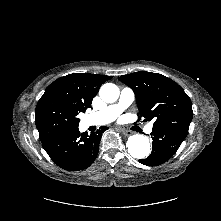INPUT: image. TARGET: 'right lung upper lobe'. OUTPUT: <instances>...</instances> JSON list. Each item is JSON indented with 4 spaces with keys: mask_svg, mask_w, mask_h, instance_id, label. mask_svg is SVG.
I'll use <instances>...</instances> for the list:
<instances>
[{
    "mask_svg": "<svg viewBox=\"0 0 221 221\" xmlns=\"http://www.w3.org/2000/svg\"><path fill=\"white\" fill-rule=\"evenodd\" d=\"M111 78L112 76L99 74H69L51 83L39 101L50 95H58L86 111L91 107L92 99L98 93L100 86Z\"/></svg>",
    "mask_w": 221,
    "mask_h": 221,
    "instance_id": "cb5924a9",
    "label": "right lung upper lobe"
}]
</instances>
